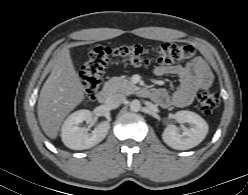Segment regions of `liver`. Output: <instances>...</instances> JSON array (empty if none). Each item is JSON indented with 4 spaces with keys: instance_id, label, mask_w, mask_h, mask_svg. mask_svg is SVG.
<instances>
[{
    "instance_id": "6515ba94",
    "label": "liver",
    "mask_w": 248,
    "mask_h": 195,
    "mask_svg": "<svg viewBox=\"0 0 248 195\" xmlns=\"http://www.w3.org/2000/svg\"><path fill=\"white\" fill-rule=\"evenodd\" d=\"M84 97L85 88L65 47L59 52L38 99V119L49 138H57L63 120Z\"/></svg>"
}]
</instances>
